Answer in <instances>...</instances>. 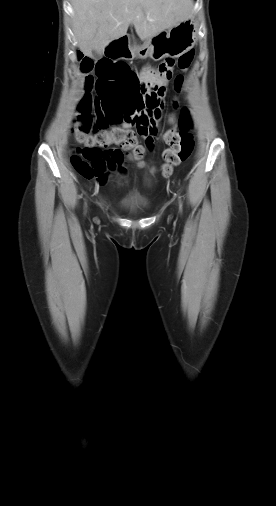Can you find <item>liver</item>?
Here are the masks:
<instances>
[{
  "label": "liver",
  "instance_id": "obj_1",
  "mask_svg": "<svg viewBox=\"0 0 276 506\" xmlns=\"http://www.w3.org/2000/svg\"><path fill=\"white\" fill-rule=\"evenodd\" d=\"M73 31L80 51L102 54L130 24L141 40L191 17L192 0H71Z\"/></svg>",
  "mask_w": 276,
  "mask_h": 506
}]
</instances>
